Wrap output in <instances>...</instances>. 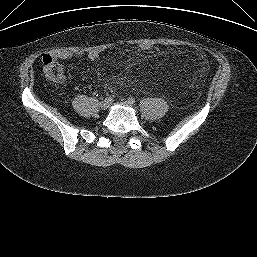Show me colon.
Returning <instances> with one entry per match:
<instances>
[{
    "instance_id": "obj_1",
    "label": "colon",
    "mask_w": 257,
    "mask_h": 257,
    "mask_svg": "<svg viewBox=\"0 0 257 257\" xmlns=\"http://www.w3.org/2000/svg\"><path fill=\"white\" fill-rule=\"evenodd\" d=\"M137 48L140 52H144V53H147L153 50V46L148 43H141L138 45ZM42 61H43L44 73L48 79L56 82L63 80L64 70L61 64L56 62L48 55H45Z\"/></svg>"
}]
</instances>
